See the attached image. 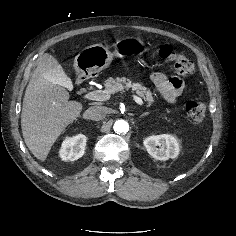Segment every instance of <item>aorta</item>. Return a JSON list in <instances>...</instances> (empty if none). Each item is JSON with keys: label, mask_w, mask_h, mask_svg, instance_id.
Segmentation results:
<instances>
[{"label": "aorta", "mask_w": 236, "mask_h": 236, "mask_svg": "<svg viewBox=\"0 0 236 236\" xmlns=\"http://www.w3.org/2000/svg\"><path fill=\"white\" fill-rule=\"evenodd\" d=\"M114 131L118 133H127L129 130V124L125 120H117L114 123Z\"/></svg>", "instance_id": "1"}]
</instances>
